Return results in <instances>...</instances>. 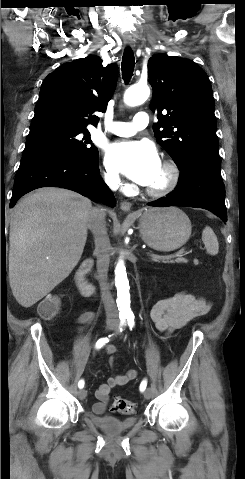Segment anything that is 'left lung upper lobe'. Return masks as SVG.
Wrapping results in <instances>:
<instances>
[{
	"label": "left lung upper lobe",
	"mask_w": 245,
	"mask_h": 479,
	"mask_svg": "<svg viewBox=\"0 0 245 479\" xmlns=\"http://www.w3.org/2000/svg\"><path fill=\"white\" fill-rule=\"evenodd\" d=\"M148 77L154 91L150 109L158 113L155 137L178 168L201 155H218L215 104L205 71L191 60L161 53L149 59Z\"/></svg>",
	"instance_id": "5c2ea615"
}]
</instances>
